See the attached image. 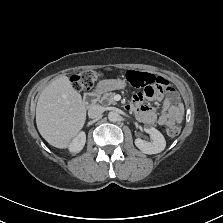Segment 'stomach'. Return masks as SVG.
Listing matches in <instances>:
<instances>
[{"mask_svg":"<svg viewBox=\"0 0 223 223\" xmlns=\"http://www.w3.org/2000/svg\"><path fill=\"white\" fill-rule=\"evenodd\" d=\"M123 87V84L121 81L119 80H106V81H102L99 83V89L101 91H105V90H111L114 88H121Z\"/></svg>","mask_w":223,"mask_h":223,"instance_id":"1","label":"stomach"}]
</instances>
